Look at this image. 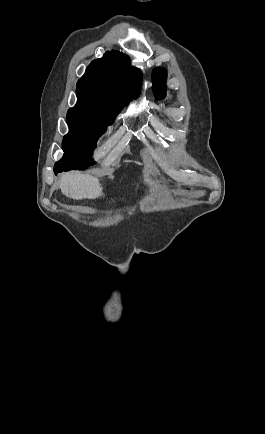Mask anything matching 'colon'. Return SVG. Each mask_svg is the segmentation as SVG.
Listing matches in <instances>:
<instances>
[{"label": "colon", "instance_id": "1", "mask_svg": "<svg viewBox=\"0 0 265 434\" xmlns=\"http://www.w3.org/2000/svg\"><path fill=\"white\" fill-rule=\"evenodd\" d=\"M186 191L187 192H192L193 191V186L192 185H187L186 186Z\"/></svg>", "mask_w": 265, "mask_h": 434}]
</instances>
